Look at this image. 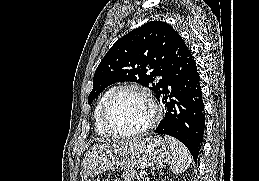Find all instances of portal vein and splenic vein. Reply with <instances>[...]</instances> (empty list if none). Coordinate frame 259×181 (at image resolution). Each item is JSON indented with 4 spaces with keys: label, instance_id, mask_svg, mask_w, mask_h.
<instances>
[{
    "label": "portal vein and splenic vein",
    "instance_id": "1",
    "mask_svg": "<svg viewBox=\"0 0 259 181\" xmlns=\"http://www.w3.org/2000/svg\"><path fill=\"white\" fill-rule=\"evenodd\" d=\"M146 175V172H140V178L144 179Z\"/></svg>",
    "mask_w": 259,
    "mask_h": 181
}]
</instances>
